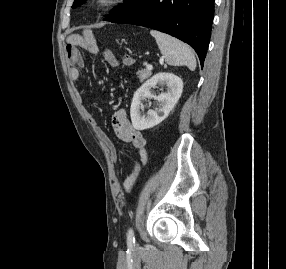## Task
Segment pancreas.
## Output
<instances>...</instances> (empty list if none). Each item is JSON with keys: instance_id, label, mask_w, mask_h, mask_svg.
<instances>
[{"instance_id": "pancreas-1", "label": "pancreas", "mask_w": 286, "mask_h": 269, "mask_svg": "<svg viewBox=\"0 0 286 269\" xmlns=\"http://www.w3.org/2000/svg\"><path fill=\"white\" fill-rule=\"evenodd\" d=\"M138 77L141 81L147 79L148 77L151 76L152 72L150 70L147 69H142L140 71H138Z\"/></svg>"}]
</instances>
